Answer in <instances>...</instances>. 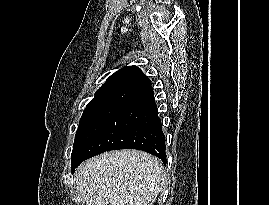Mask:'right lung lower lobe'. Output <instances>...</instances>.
Returning a JSON list of instances; mask_svg holds the SVG:
<instances>
[{
	"mask_svg": "<svg viewBox=\"0 0 269 205\" xmlns=\"http://www.w3.org/2000/svg\"><path fill=\"white\" fill-rule=\"evenodd\" d=\"M165 135L154 97L130 106L112 118L80 151L72 168L110 150L138 149L157 156L166 164Z\"/></svg>",
	"mask_w": 269,
	"mask_h": 205,
	"instance_id": "98d812e1",
	"label": "right lung lower lobe"
}]
</instances>
